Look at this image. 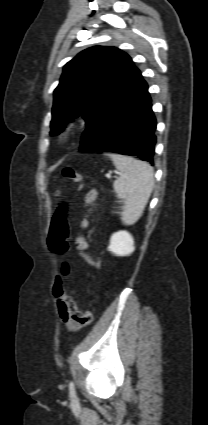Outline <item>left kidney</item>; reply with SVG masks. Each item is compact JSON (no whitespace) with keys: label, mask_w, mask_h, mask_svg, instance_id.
Instances as JSON below:
<instances>
[{"label":"left kidney","mask_w":208,"mask_h":425,"mask_svg":"<svg viewBox=\"0 0 208 425\" xmlns=\"http://www.w3.org/2000/svg\"><path fill=\"white\" fill-rule=\"evenodd\" d=\"M108 250L116 256H128L135 250L133 237L127 231H118L110 238Z\"/></svg>","instance_id":"1"}]
</instances>
